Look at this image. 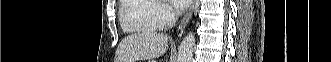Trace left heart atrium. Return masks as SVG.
<instances>
[{
  "mask_svg": "<svg viewBox=\"0 0 331 62\" xmlns=\"http://www.w3.org/2000/svg\"><path fill=\"white\" fill-rule=\"evenodd\" d=\"M191 0H169V3L173 9L177 12H181L188 7Z\"/></svg>",
  "mask_w": 331,
  "mask_h": 62,
  "instance_id": "39dd6f15",
  "label": "left heart atrium"
}]
</instances>
